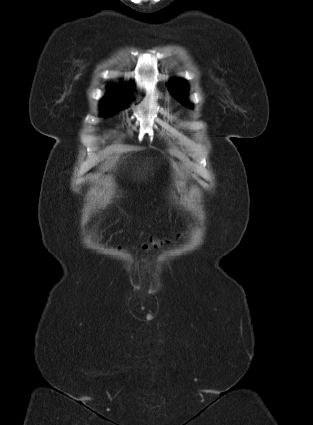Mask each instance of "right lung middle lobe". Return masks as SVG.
Returning a JSON list of instances; mask_svg holds the SVG:
<instances>
[{"label": "right lung middle lobe", "mask_w": 313, "mask_h": 425, "mask_svg": "<svg viewBox=\"0 0 313 425\" xmlns=\"http://www.w3.org/2000/svg\"><path fill=\"white\" fill-rule=\"evenodd\" d=\"M101 116L109 117L125 108V104L118 101L101 102Z\"/></svg>", "instance_id": "1"}]
</instances>
